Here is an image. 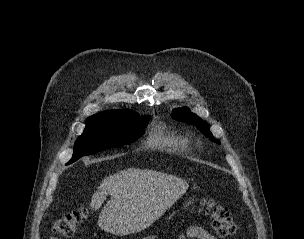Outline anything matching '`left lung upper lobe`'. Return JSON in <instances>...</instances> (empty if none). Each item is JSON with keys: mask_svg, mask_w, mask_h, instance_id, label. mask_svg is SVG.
I'll return each mask as SVG.
<instances>
[{"mask_svg": "<svg viewBox=\"0 0 304 239\" xmlns=\"http://www.w3.org/2000/svg\"><path fill=\"white\" fill-rule=\"evenodd\" d=\"M172 117L175 120L195 125L206 137H208L213 142L220 144V141L216 140L212 133L209 131L207 123L196 114L191 113L187 107L174 109L172 111Z\"/></svg>", "mask_w": 304, "mask_h": 239, "instance_id": "1", "label": "left lung upper lobe"}]
</instances>
